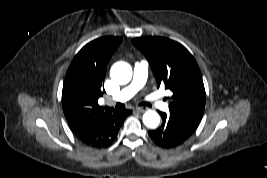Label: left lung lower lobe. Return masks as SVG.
<instances>
[{
    "label": "left lung lower lobe",
    "instance_id": "left-lung-lower-lobe-1",
    "mask_svg": "<svg viewBox=\"0 0 267 178\" xmlns=\"http://www.w3.org/2000/svg\"><path fill=\"white\" fill-rule=\"evenodd\" d=\"M159 113L163 120L162 125L158 129L148 132L156 145L162 148H173L184 143L192 135L179 121L169 117L166 113Z\"/></svg>",
    "mask_w": 267,
    "mask_h": 178
}]
</instances>
